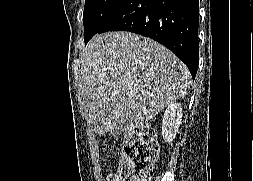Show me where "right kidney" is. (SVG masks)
<instances>
[{
	"mask_svg": "<svg viewBox=\"0 0 253 181\" xmlns=\"http://www.w3.org/2000/svg\"><path fill=\"white\" fill-rule=\"evenodd\" d=\"M182 107L180 103L171 102L165 112L162 120V135L165 142H172L179 130L182 120Z\"/></svg>",
	"mask_w": 253,
	"mask_h": 181,
	"instance_id": "ca27d5eb",
	"label": "right kidney"
}]
</instances>
